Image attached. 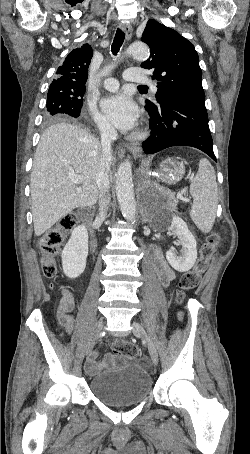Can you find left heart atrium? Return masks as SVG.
<instances>
[{
	"label": "left heart atrium",
	"mask_w": 250,
	"mask_h": 454,
	"mask_svg": "<svg viewBox=\"0 0 250 454\" xmlns=\"http://www.w3.org/2000/svg\"><path fill=\"white\" fill-rule=\"evenodd\" d=\"M101 109L108 120L121 130L133 129L139 117L136 104L124 93L105 97L101 101Z\"/></svg>",
	"instance_id": "obj_1"
}]
</instances>
